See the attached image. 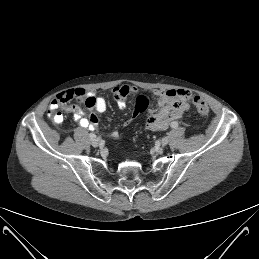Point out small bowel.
<instances>
[{"label":"small bowel","mask_w":259,"mask_h":259,"mask_svg":"<svg viewBox=\"0 0 259 259\" xmlns=\"http://www.w3.org/2000/svg\"><path fill=\"white\" fill-rule=\"evenodd\" d=\"M136 91L134 86L120 84L114 87L112 94L119 108L123 109L127 105V96ZM154 95L158 98V104L157 108L150 110L147 114L145 126L149 130H166L172 122L181 119L190 108L188 102L192 93L188 90H156ZM72 99H77L85 104L91 111L89 118L84 117L83 109L79 105L65 106V111L73 114V119L79 126L95 129L98 125L97 114H103L107 109L106 100L95 96L92 92L77 88L59 94L51 102V106H64ZM117 136V131L112 132V137L116 138Z\"/></svg>","instance_id":"c3829d8e"}]
</instances>
